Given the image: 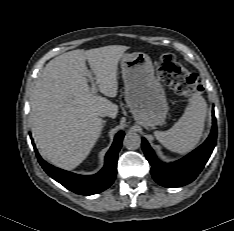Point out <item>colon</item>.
Listing matches in <instances>:
<instances>
[{
	"mask_svg": "<svg viewBox=\"0 0 234 231\" xmlns=\"http://www.w3.org/2000/svg\"><path fill=\"white\" fill-rule=\"evenodd\" d=\"M157 74L164 84L181 96L190 97L199 89L197 75L186 69L170 53L160 55Z\"/></svg>",
	"mask_w": 234,
	"mask_h": 231,
	"instance_id": "5ec220e1",
	"label": "colon"
}]
</instances>
